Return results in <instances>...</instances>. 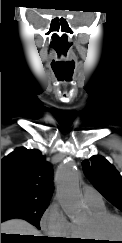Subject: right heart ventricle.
<instances>
[{
  "mask_svg": "<svg viewBox=\"0 0 122 243\" xmlns=\"http://www.w3.org/2000/svg\"><path fill=\"white\" fill-rule=\"evenodd\" d=\"M86 204L90 210L91 216H98V215L108 213V210L103 202L93 203V204L86 203ZM84 225L85 224L83 225L73 224L71 236L74 237V239L81 240V241L85 239H90L84 231Z\"/></svg>",
  "mask_w": 122,
  "mask_h": 243,
  "instance_id": "obj_1",
  "label": "right heart ventricle"
}]
</instances>
